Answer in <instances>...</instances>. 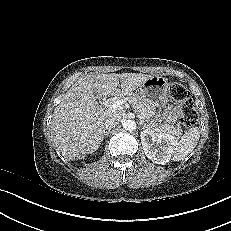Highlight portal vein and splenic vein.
Returning <instances> with one entry per match:
<instances>
[{
	"label": "portal vein and splenic vein",
	"instance_id": "1",
	"mask_svg": "<svg viewBox=\"0 0 231 231\" xmlns=\"http://www.w3.org/2000/svg\"><path fill=\"white\" fill-rule=\"evenodd\" d=\"M124 103H125V100L123 99L117 100L109 106L108 111L112 113L117 112L123 108Z\"/></svg>",
	"mask_w": 231,
	"mask_h": 231
}]
</instances>
